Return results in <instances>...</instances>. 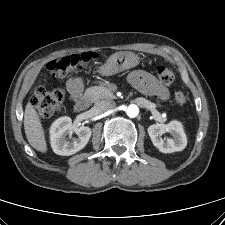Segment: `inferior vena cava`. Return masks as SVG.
<instances>
[{
  "label": "inferior vena cava",
  "mask_w": 225,
  "mask_h": 225,
  "mask_svg": "<svg viewBox=\"0 0 225 225\" xmlns=\"http://www.w3.org/2000/svg\"><path fill=\"white\" fill-rule=\"evenodd\" d=\"M95 105L100 112L110 111L116 106L115 102L111 100H98Z\"/></svg>",
  "instance_id": "obj_1"
}]
</instances>
